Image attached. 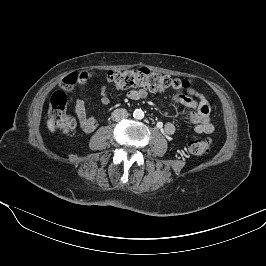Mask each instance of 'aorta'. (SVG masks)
<instances>
[{
    "instance_id": "aorta-1",
    "label": "aorta",
    "mask_w": 266,
    "mask_h": 266,
    "mask_svg": "<svg viewBox=\"0 0 266 266\" xmlns=\"http://www.w3.org/2000/svg\"><path fill=\"white\" fill-rule=\"evenodd\" d=\"M133 117L135 119H138V120H141L144 118V112L143 110L141 109H136L134 112H133Z\"/></svg>"
}]
</instances>
